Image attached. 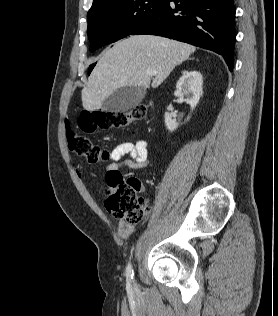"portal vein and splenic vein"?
<instances>
[{
  "label": "portal vein and splenic vein",
  "instance_id": "obj_1",
  "mask_svg": "<svg viewBox=\"0 0 278 316\" xmlns=\"http://www.w3.org/2000/svg\"><path fill=\"white\" fill-rule=\"evenodd\" d=\"M147 74L153 76V75H156V71L148 70Z\"/></svg>",
  "mask_w": 278,
  "mask_h": 316
}]
</instances>
